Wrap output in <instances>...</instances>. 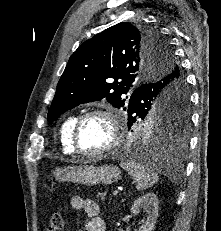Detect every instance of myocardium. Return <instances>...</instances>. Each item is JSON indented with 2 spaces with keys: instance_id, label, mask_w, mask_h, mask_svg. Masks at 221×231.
Wrapping results in <instances>:
<instances>
[{
  "instance_id": "obj_1",
  "label": "myocardium",
  "mask_w": 221,
  "mask_h": 231,
  "mask_svg": "<svg viewBox=\"0 0 221 231\" xmlns=\"http://www.w3.org/2000/svg\"><path fill=\"white\" fill-rule=\"evenodd\" d=\"M92 116H104L108 120L111 126L112 137L109 144L105 148L94 152H87L80 148L78 143V134L83 122ZM121 136L120 120L117 113L112 108L98 107L90 109L77 117L72 128L71 145L74 152L77 154L84 157L97 158L107 155L115 150L120 144Z\"/></svg>"
}]
</instances>
